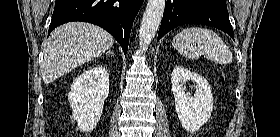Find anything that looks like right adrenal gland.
<instances>
[{
    "label": "right adrenal gland",
    "instance_id": "right-adrenal-gland-1",
    "mask_svg": "<svg viewBox=\"0 0 280 137\" xmlns=\"http://www.w3.org/2000/svg\"><path fill=\"white\" fill-rule=\"evenodd\" d=\"M108 53L113 54L110 50L108 51Z\"/></svg>",
    "mask_w": 280,
    "mask_h": 137
}]
</instances>
